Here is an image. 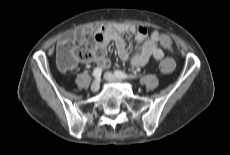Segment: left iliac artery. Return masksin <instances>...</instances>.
<instances>
[{
	"mask_svg": "<svg viewBox=\"0 0 230 155\" xmlns=\"http://www.w3.org/2000/svg\"><path fill=\"white\" fill-rule=\"evenodd\" d=\"M114 74H115L117 77L121 78V79H134V78H137V77H138V75L129 76V75H127L126 73H124V72H122V71H120V70H116V71L114 72Z\"/></svg>",
	"mask_w": 230,
	"mask_h": 155,
	"instance_id": "left-iliac-artery-1",
	"label": "left iliac artery"
}]
</instances>
